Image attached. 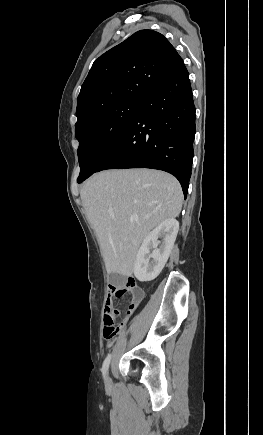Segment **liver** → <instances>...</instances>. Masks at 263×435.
<instances>
[{
    "instance_id": "6515ba94",
    "label": "liver",
    "mask_w": 263,
    "mask_h": 435,
    "mask_svg": "<svg viewBox=\"0 0 263 435\" xmlns=\"http://www.w3.org/2000/svg\"><path fill=\"white\" fill-rule=\"evenodd\" d=\"M80 196L107 273L127 277L145 237L164 220L177 217L183 203L178 180L152 169L96 173L84 183Z\"/></svg>"
}]
</instances>
